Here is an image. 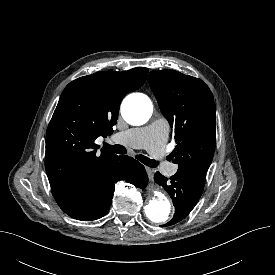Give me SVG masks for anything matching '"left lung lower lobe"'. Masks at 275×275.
<instances>
[{
  "mask_svg": "<svg viewBox=\"0 0 275 275\" xmlns=\"http://www.w3.org/2000/svg\"><path fill=\"white\" fill-rule=\"evenodd\" d=\"M154 179L169 193L175 206L174 217L164 226L173 225L184 219L199 201L204 188V180L190 174L177 172L168 179L156 172Z\"/></svg>",
  "mask_w": 275,
  "mask_h": 275,
  "instance_id": "0a47b994",
  "label": "left lung lower lobe"
}]
</instances>
